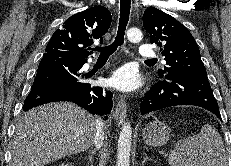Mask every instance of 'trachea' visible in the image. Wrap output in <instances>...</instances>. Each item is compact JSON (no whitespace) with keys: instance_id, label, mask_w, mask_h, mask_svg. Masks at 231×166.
<instances>
[{"instance_id":"obj_1","label":"trachea","mask_w":231,"mask_h":166,"mask_svg":"<svg viewBox=\"0 0 231 166\" xmlns=\"http://www.w3.org/2000/svg\"><path fill=\"white\" fill-rule=\"evenodd\" d=\"M131 8V0H120V19L117 36L112 44L105 47H95L94 50L100 52V57H109L124 43L125 29L128 24ZM147 61H156L154 59Z\"/></svg>"}]
</instances>
